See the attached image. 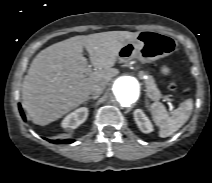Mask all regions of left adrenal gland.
<instances>
[{"mask_svg":"<svg viewBox=\"0 0 212 183\" xmlns=\"http://www.w3.org/2000/svg\"><path fill=\"white\" fill-rule=\"evenodd\" d=\"M145 104H146V106H148V99H147V97L145 98Z\"/></svg>","mask_w":212,"mask_h":183,"instance_id":"1","label":"left adrenal gland"}]
</instances>
